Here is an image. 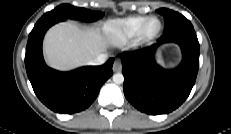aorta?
<instances>
[{"label": "aorta", "mask_w": 231, "mask_h": 134, "mask_svg": "<svg viewBox=\"0 0 231 134\" xmlns=\"http://www.w3.org/2000/svg\"><path fill=\"white\" fill-rule=\"evenodd\" d=\"M113 82L115 84H122L124 82V76L121 73H116L113 75Z\"/></svg>", "instance_id": "obj_1"}]
</instances>
